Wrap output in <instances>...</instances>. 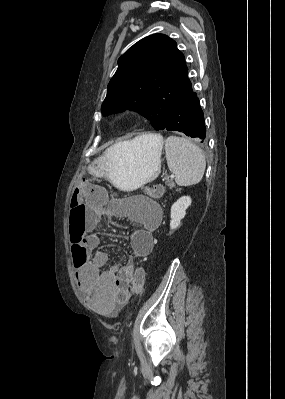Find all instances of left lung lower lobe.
<instances>
[{
	"label": "left lung lower lobe",
	"mask_w": 285,
	"mask_h": 399,
	"mask_svg": "<svg viewBox=\"0 0 285 399\" xmlns=\"http://www.w3.org/2000/svg\"><path fill=\"white\" fill-rule=\"evenodd\" d=\"M162 130L179 131L201 142L205 139L204 115L190 81L176 97Z\"/></svg>",
	"instance_id": "obj_1"
}]
</instances>
